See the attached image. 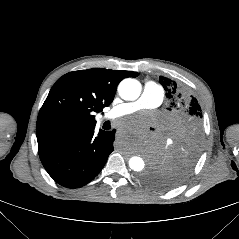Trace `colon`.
Instances as JSON below:
<instances>
[{"mask_svg": "<svg viewBox=\"0 0 239 239\" xmlns=\"http://www.w3.org/2000/svg\"><path fill=\"white\" fill-rule=\"evenodd\" d=\"M196 106V104L195 103H191L190 105H189V110H191L193 107H195Z\"/></svg>", "mask_w": 239, "mask_h": 239, "instance_id": "5ec220e1", "label": "colon"}]
</instances>
